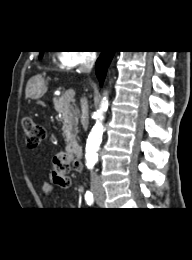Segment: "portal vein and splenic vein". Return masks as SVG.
<instances>
[{
  "label": "portal vein and splenic vein",
  "mask_w": 192,
  "mask_h": 260,
  "mask_svg": "<svg viewBox=\"0 0 192 260\" xmlns=\"http://www.w3.org/2000/svg\"><path fill=\"white\" fill-rule=\"evenodd\" d=\"M75 96V91L73 89L67 90L63 97L65 98L66 101L70 102Z\"/></svg>",
  "instance_id": "1"
}]
</instances>
